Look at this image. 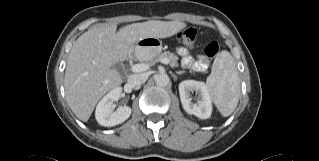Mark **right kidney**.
I'll return each instance as SVG.
<instances>
[{"label":"right kidney","instance_id":"ca27d5eb","mask_svg":"<svg viewBox=\"0 0 319 161\" xmlns=\"http://www.w3.org/2000/svg\"><path fill=\"white\" fill-rule=\"evenodd\" d=\"M122 89L117 87L104 96L98 103L95 111L97 122L105 127H112L126 121L131 115V108L120 106L115 111L113 103L121 97Z\"/></svg>","mask_w":319,"mask_h":161}]
</instances>
